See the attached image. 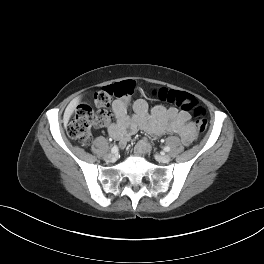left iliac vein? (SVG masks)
I'll return each mask as SVG.
<instances>
[{"mask_svg": "<svg viewBox=\"0 0 264 264\" xmlns=\"http://www.w3.org/2000/svg\"><path fill=\"white\" fill-rule=\"evenodd\" d=\"M155 159L161 163H168V162H170L171 157L167 154H164V155L157 154V155H155Z\"/></svg>", "mask_w": 264, "mask_h": 264, "instance_id": "1", "label": "left iliac vein"}]
</instances>
